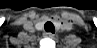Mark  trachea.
I'll return each mask as SVG.
<instances>
[{"label": "trachea", "instance_id": "trachea-1", "mask_svg": "<svg viewBox=\"0 0 97 48\" xmlns=\"http://www.w3.org/2000/svg\"><path fill=\"white\" fill-rule=\"evenodd\" d=\"M44 29L46 32L55 33V27L52 22L48 21L44 25Z\"/></svg>", "mask_w": 97, "mask_h": 48}]
</instances>
